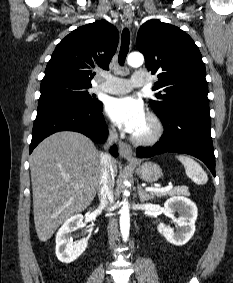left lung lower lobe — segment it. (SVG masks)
Instances as JSON below:
<instances>
[{"label": "left lung lower lobe", "instance_id": "0a47b994", "mask_svg": "<svg viewBox=\"0 0 233 283\" xmlns=\"http://www.w3.org/2000/svg\"><path fill=\"white\" fill-rule=\"evenodd\" d=\"M165 133L152 148H138V157L179 152L202 160L215 176V156L210 133L209 106L200 104L177 108L160 118Z\"/></svg>", "mask_w": 233, "mask_h": 283}]
</instances>
